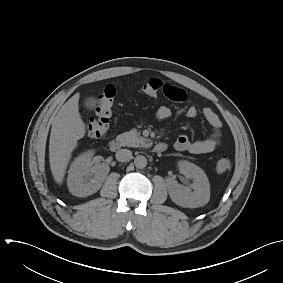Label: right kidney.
Here are the masks:
<instances>
[{
	"instance_id": "right-kidney-1",
	"label": "right kidney",
	"mask_w": 283,
	"mask_h": 283,
	"mask_svg": "<svg viewBox=\"0 0 283 283\" xmlns=\"http://www.w3.org/2000/svg\"><path fill=\"white\" fill-rule=\"evenodd\" d=\"M93 155V150L86 151L71 163L67 184L74 196L87 197L97 192L110 170L106 164L93 165Z\"/></svg>"
}]
</instances>
